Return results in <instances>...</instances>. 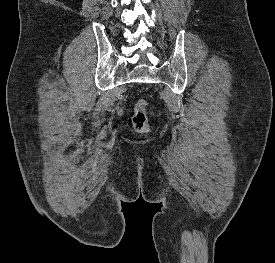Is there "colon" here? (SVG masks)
Listing matches in <instances>:
<instances>
[{
    "label": "colon",
    "instance_id": "colon-1",
    "mask_svg": "<svg viewBox=\"0 0 275 263\" xmlns=\"http://www.w3.org/2000/svg\"><path fill=\"white\" fill-rule=\"evenodd\" d=\"M148 102L144 98H139L134 104L132 124L138 133H146L150 129L148 120Z\"/></svg>",
    "mask_w": 275,
    "mask_h": 263
}]
</instances>
